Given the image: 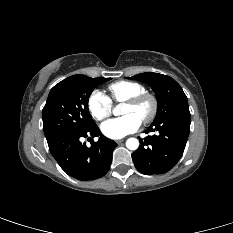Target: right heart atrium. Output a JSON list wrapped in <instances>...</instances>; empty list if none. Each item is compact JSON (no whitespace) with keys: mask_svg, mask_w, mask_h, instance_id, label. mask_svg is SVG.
Listing matches in <instances>:
<instances>
[{"mask_svg":"<svg viewBox=\"0 0 233 233\" xmlns=\"http://www.w3.org/2000/svg\"><path fill=\"white\" fill-rule=\"evenodd\" d=\"M88 111L91 116L98 120H104L112 112V102L99 90H94L87 101Z\"/></svg>","mask_w":233,"mask_h":233,"instance_id":"right-heart-atrium-1","label":"right heart atrium"}]
</instances>
